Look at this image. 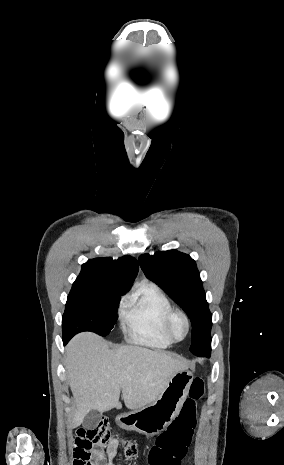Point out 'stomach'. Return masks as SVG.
Returning a JSON list of instances; mask_svg holds the SVG:
<instances>
[{"label":"stomach","instance_id":"obj_1","mask_svg":"<svg viewBox=\"0 0 284 465\" xmlns=\"http://www.w3.org/2000/svg\"><path fill=\"white\" fill-rule=\"evenodd\" d=\"M193 381L191 371H179L171 377L161 395L145 409L121 413L116 423L125 431H137L147 437H154L164 431L171 421L177 417L184 401H186Z\"/></svg>","mask_w":284,"mask_h":465}]
</instances>
